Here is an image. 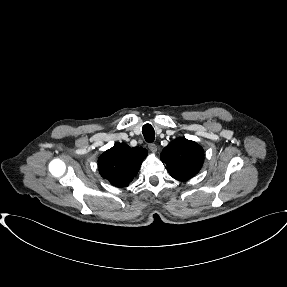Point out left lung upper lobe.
I'll list each match as a JSON object with an SVG mask.
<instances>
[{
  "mask_svg": "<svg viewBox=\"0 0 287 287\" xmlns=\"http://www.w3.org/2000/svg\"><path fill=\"white\" fill-rule=\"evenodd\" d=\"M160 159L167 165V170L173 178L185 181L201 169L204 151L196 142L179 138L163 149Z\"/></svg>",
  "mask_w": 287,
  "mask_h": 287,
  "instance_id": "obj_1",
  "label": "left lung upper lobe"
}]
</instances>
